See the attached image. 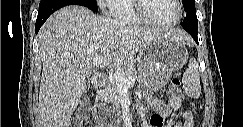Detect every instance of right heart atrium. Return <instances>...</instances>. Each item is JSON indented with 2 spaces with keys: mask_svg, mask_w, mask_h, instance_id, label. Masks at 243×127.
Wrapping results in <instances>:
<instances>
[{
  "mask_svg": "<svg viewBox=\"0 0 243 127\" xmlns=\"http://www.w3.org/2000/svg\"><path fill=\"white\" fill-rule=\"evenodd\" d=\"M111 0H98V4L101 6L105 13L109 12Z\"/></svg>",
  "mask_w": 243,
  "mask_h": 127,
  "instance_id": "obj_1",
  "label": "right heart atrium"
}]
</instances>
